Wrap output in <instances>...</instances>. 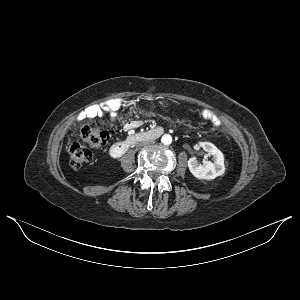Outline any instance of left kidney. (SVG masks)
I'll use <instances>...</instances> for the list:
<instances>
[{"instance_id": "1", "label": "left kidney", "mask_w": 300, "mask_h": 300, "mask_svg": "<svg viewBox=\"0 0 300 300\" xmlns=\"http://www.w3.org/2000/svg\"><path fill=\"white\" fill-rule=\"evenodd\" d=\"M198 145L212 155L213 162L203 161L202 164H199L196 157H191L188 160V168L192 175L205 180H213L223 175L225 172L223 153L210 142H200Z\"/></svg>"}]
</instances>
